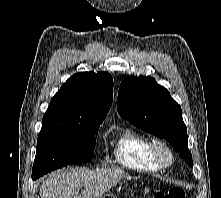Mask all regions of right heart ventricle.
Instances as JSON below:
<instances>
[{"label": "right heart ventricle", "instance_id": "right-heart-ventricle-1", "mask_svg": "<svg viewBox=\"0 0 221 198\" xmlns=\"http://www.w3.org/2000/svg\"><path fill=\"white\" fill-rule=\"evenodd\" d=\"M154 140L131 129L122 131L113 143L115 161L122 167L145 172L159 171L152 156Z\"/></svg>", "mask_w": 221, "mask_h": 198}]
</instances>
